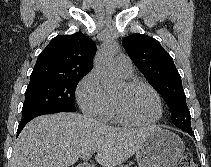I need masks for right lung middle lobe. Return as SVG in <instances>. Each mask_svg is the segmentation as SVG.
<instances>
[{"label":"right lung middle lobe","mask_w":211,"mask_h":167,"mask_svg":"<svg viewBox=\"0 0 211 167\" xmlns=\"http://www.w3.org/2000/svg\"><path fill=\"white\" fill-rule=\"evenodd\" d=\"M83 77L32 81L26 89L22 119L46 112H76L75 89Z\"/></svg>","instance_id":"obj_1"}]
</instances>
